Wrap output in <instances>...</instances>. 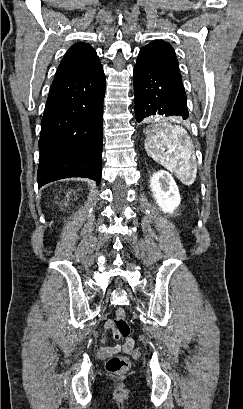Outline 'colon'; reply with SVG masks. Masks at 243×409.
<instances>
[{
  "label": "colon",
  "mask_w": 243,
  "mask_h": 409,
  "mask_svg": "<svg viewBox=\"0 0 243 409\" xmlns=\"http://www.w3.org/2000/svg\"><path fill=\"white\" fill-rule=\"evenodd\" d=\"M113 333L116 338L122 339L126 346H133V340L130 338V327L126 319V312L122 307H118L115 311ZM130 364L131 362L126 356H113L106 362V369L110 373L120 374L126 372Z\"/></svg>",
  "instance_id": "colon-1"
}]
</instances>
